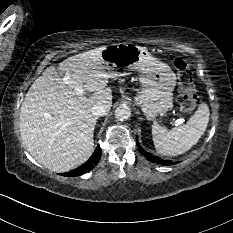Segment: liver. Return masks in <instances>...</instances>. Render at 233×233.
Masks as SVG:
<instances>
[{"label":"liver","instance_id":"1","mask_svg":"<svg viewBox=\"0 0 233 233\" xmlns=\"http://www.w3.org/2000/svg\"><path fill=\"white\" fill-rule=\"evenodd\" d=\"M106 46L49 66L31 85L20 110V135L26 150L45 168L66 172L83 164L94 149L97 117L92 107L112 105L111 77L102 61ZM69 77L83 89L64 83ZM87 92H93L86 97Z\"/></svg>","mask_w":233,"mask_h":233}]
</instances>
